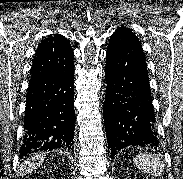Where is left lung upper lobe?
<instances>
[{
    "label": "left lung upper lobe",
    "mask_w": 183,
    "mask_h": 179,
    "mask_svg": "<svg viewBox=\"0 0 183 179\" xmlns=\"http://www.w3.org/2000/svg\"><path fill=\"white\" fill-rule=\"evenodd\" d=\"M119 30H129V29H127V28H124V27H122V28H118Z\"/></svg>",
    "instance_id": "5c2ea615"
}]
</instances>
